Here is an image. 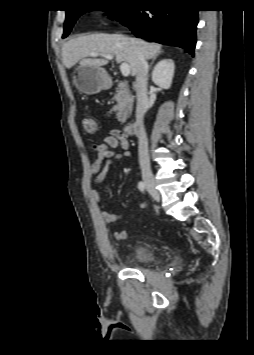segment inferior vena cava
Masks as SVG:
<instances>
[{
  "label": "inferior vena cava",
  "mask_w": 254,
  "mask_h": 355,
  "mask_svg": "<svg viewBox=\"0 0 254 355\" xmlns=\"http://www.w3.org/2000/svg\"><path fill=\"white\" fill-rule=\"evenodd\" d=\"M147 74H148V64L146 60L141 57L136 73V80L134 88L137 96V106H136V125L138 127V153H139V164L141 168L149 169L150 161L148 154V139L144 128V115L148 110L149 101L147 96Z\"/></svg>",
  "instance_id": "obj_1"
}]
</instances>
